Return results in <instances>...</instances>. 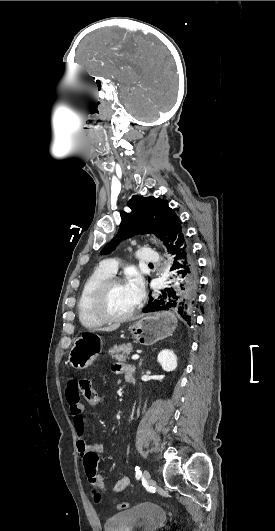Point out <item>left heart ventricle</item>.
Returning <instances> with one entry per match:
<instances>
[{"instance_id":"left-heart-ventricle-1","label":"left heart ventricle","mask_w":275,"mask_h":531,"mask_svg":"<svg viewBox=\"0 0 275 531\" xmlns=\"http://www.w3.org/2000/svg\"><path fill=\"white\" fill-rule=\"evenodd\" d=\"M135 303L126 287L125 282L112 285L106 297V307L115 316H122L128 313Z\"/></svg>"}]
</instances>
